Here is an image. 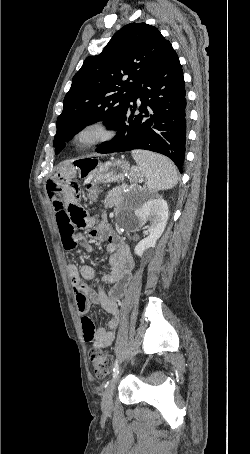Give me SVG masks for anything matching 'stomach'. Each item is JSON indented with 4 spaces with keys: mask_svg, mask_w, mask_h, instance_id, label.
Returning <instances> with one entry per match:
<instances>
[{
    "mask_svg": "<svg viewBox=\"0 0 250 454\" xmlns=\"http://www.w3.org/2000/svg\"><path fill=\"white\" fill-rule=\"evenodd\" d=\"M78 164L79 176L94 183L120 181L125 174H129L130 180L133 182L142 177L138 169H130L129 163L123 159H113L102 163L97 159L88 158L82 159Z\"/></svg>",
    "mask_w": 250,
    "mask_h": 454,
    "instance_id": "1",
    "label": "stomach"
}]
</instances>
